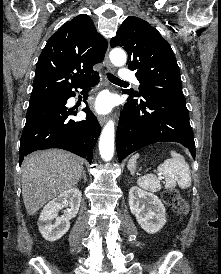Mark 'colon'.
Masks as SVG:
<instances>
[{
  "label": "colon",
  "instance_id": "1",
  "mask_svg": "<svg viewBox=\"0 0 221 274\" xmlns=\"http://www.w3.org/2000/svg\"><path fill=\"white\" fill-rule=\"evenodd\" d=\"M163 201L178 215L188 213L189 205L187 201L175 189H169L162 194Z\"/></svg>",
  "mask_w": 221,
  "mask_h": 274
}]
</instances>
